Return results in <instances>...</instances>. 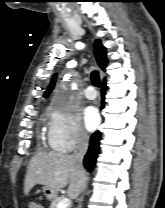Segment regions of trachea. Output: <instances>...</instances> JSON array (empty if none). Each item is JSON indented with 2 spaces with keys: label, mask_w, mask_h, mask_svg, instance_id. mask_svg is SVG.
I'll return each instance as SVG.
<instances>
[{
  "label": "trachea",
  "mask_w": 165,
  "mask_h": 208,
  "mask_svg": "<svg viewBox=\"0 0 165 208\" xmlns=\"http://www.w3.org/2000/svg\"><path fill=\"white\" fill-rule=\"evenodd\" d=\"M92 84L96 87H100V77L98 71L94 70L91 73Z\"/></svg>",
  "instance_id": "1"
}]
</instances>
